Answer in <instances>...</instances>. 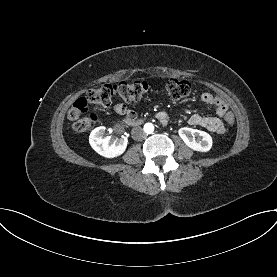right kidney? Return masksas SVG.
<instances>
[{
  "instance_id": "obj_1",
  "label": "right kidney",
  "mask_w": 277,
  "mask_h": 277,
  "mask_svg": "<svg viewBox=\"0 0 277 277\" xmlns=\"http://www.w3.org/2000/svg\"><path fill=\"white\" fill-rule=\"evenodd\" d=\"M106 128L104 126L95 128L90 136L89 143L91 147L101 156L114 158L120 156L126 150L128 140L126 137L112 140L111 137H105Z\"/></svg>"
}]
</instances>
